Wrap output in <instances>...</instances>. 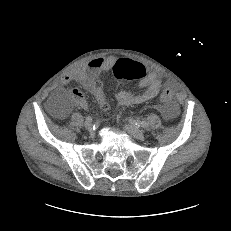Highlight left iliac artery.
<instances>
[{
    "label": "left iliac artery",
    "instance_id": "1",
    "mask_svg": "<svg viewBox=\"0 0 231 231\" xmlns=\"http://www.w3.org/2000/svg\"><path fill=\"white\" fill-rule=\"evenodd\" d=\"M131 123L138 126V127H142V128H148L149 127V123L146 121H139V120H132L130 119Z\"/></svg>",
    "mask_w": 231,
    "mask_h": 231
}]
</instances>
